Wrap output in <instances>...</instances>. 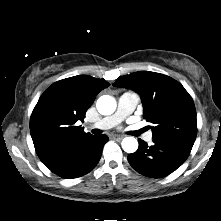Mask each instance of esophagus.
<instances>
[{"label": "esophagus", "instance_id": "esophagus-1", "mask_svg": "<svg viewBox=\"0 0 221 221\" xmlns=\"http://www.w3.org/2000/svg\"><path fill=\"white\" fill-rule=\"evenodd\" d=\"M113 139H115L117 141H121L123 139V136H121V135H113Z\"/></svg>", "mask_w": 221, "mask_h": 221}]
</instances>
